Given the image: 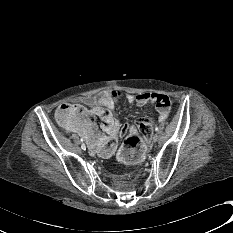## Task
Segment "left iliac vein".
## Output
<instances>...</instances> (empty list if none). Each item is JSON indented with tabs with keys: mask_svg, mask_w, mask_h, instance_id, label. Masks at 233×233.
<instances>
[{
	"mask_svg": "<svg viewBox=\"0 0 233 233\" xmlns=\"http://www.w3.org/2000/svg\"><path fill=\"white\" fill-rule=\"evenodd\" d=\"M158 140V135L155 134L152 138V142L155 143Z\"/></svg>",
	"mask_w": 233,
	"mask_h": 233,
	"instance_id": "1",
	"label": "left iliac vein"
}]
</instances>
